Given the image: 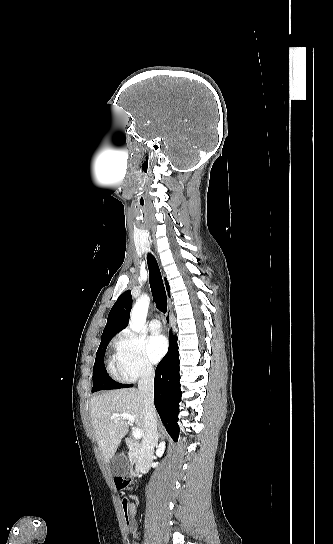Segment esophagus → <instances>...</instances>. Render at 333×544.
<instances>
[{"instance_id": "esophagus-1", "label": "esophagus", "mask_w": 333, "mask_h": 544, "mask_svg": "<svg viewBox=\"0 0 333 544\" xmlns=\"http://www.w3.org/2000/svg\"><path fill=\"white\" fill-rule=\"evenodd\" d=\"M170 311H171V302L169 300V310H168V313L165 316V324H166V326L168 328H170V326H171Z\"/></svg>"}]
</instances>
